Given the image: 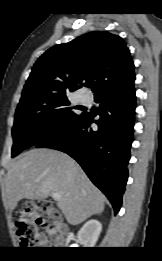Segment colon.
<instances>
[{
	"label": "colon",
	"mask_w": 162,
	"mask_h": 261,
	"mask_svg": "<svg viewBox=\"0 0 162 261\" xmlns=\"http://www.w3.org/2000/svg\"><path fill=\"white\" fill-rule=\"evenodd\" d=\"M60 214L47 200L26 204L17 214L15 222L21 245L25 248L49 247L51 239L60 236ZM46 229L49 236L43 234Z\"/></svg>",
	"instance_id": "colon-1"
}]
</instances>
